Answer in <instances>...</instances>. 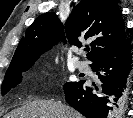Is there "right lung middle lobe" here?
<instances>
[{
	"instance_id": "dd1d6c3e",
	"label": "right lung middle lobe",
	"mask_w": 133,
	"mask_h": 118,
	"mask_svg": "<svg viewBox=\"0 0 133 118\" xmlns=\"http://www.w3.org/2000/svg\"><path fill=\"white\" fill-rule=\"evenodd\" d=\"M35 61L25 64H19L8 68L3 83H2V95L6 94L12 87L19 84L22 80V72L28 70ZM77 82H68L64 84V87L73 85Z\"/></svg>"
}]
</instances>
